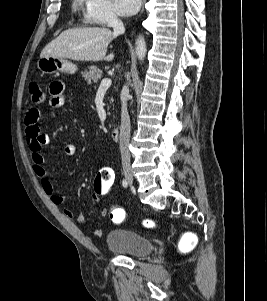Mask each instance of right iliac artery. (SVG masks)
<instances>
[{"instance_id": "1", "label": "right iliac artery", "mask_w": 267, "mask_h": 301, "mask_svg": "<svg viewBox=\"0 0 267 301\" xmlns=\"http://www.w3.org/2000/svg\"><path fill=\"white\" fill-rule=\"evenodd\" d=\"M122 185H123V187H124V188H126V187H127L128 183H127V181H126L125 179H123V181H122Z\"/></svg>"}]
</instances>
